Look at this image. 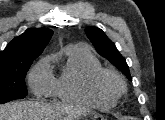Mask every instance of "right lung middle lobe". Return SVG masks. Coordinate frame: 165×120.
Here are the masks:
<instances>
[{"mask_svg":"<svg viewBox=\"0 0 165 120\" xmlns=\"http://www.w3.org/2000/svg\"><path fill=\"white\" fill-rule=\"evenodd\" d=\"M34 59L0 62V103H6L27 96L26 72Z\"/></svg>","mask_w":165,"mask_h":120,"instance_id":"obj_1","label":"right lung middle lobe"}]
</instances>
